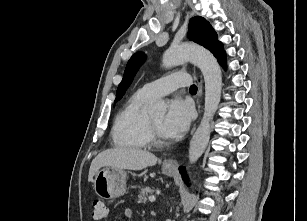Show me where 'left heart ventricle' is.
<instances>
[{"instance_id": "b2bd125f", "label": "left heart ventricle", "mask_w": 307, "mask_h": 221, "mask_svg": "<svg viewBox=\"0 0 307 221\" xmlns=\"http://www.w3.org/2000/svg\"><path fill=\"white\" fill-rule=\"evenodd\" d=\"M153 122L155 123L156 127L158 128L160 134L162 137L165 138V135L163 133V130H162V124H163V121H164V114H158V115H153L151 116Z\"/></svg>"}]
</instances>
